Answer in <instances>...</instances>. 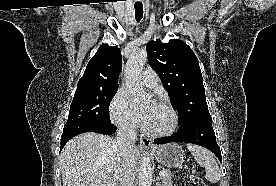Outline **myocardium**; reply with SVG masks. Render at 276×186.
I'll return each mask as SVG.
<instances>
[{
  "instance_id": "myocardium-1",
  "label": "myocardium",
  "mask_w": 276,
  "mask_h": 186,
  "mask_svg": "<svg viewBox=\"0 0 276 186\" xmlns=\"http://www.w3.org/2000/svg\"><path fill=\"white\" fill-rule=\"evenodd\" d=\"M159 104L163 105L164 107H166L172 114L173 117V122L172 125L170 126V128H168L167 130H163V131H153L148 129L146 126L144 127V132L152 137H166L169 136L171 134H173L179 125V115L177 113V111L175 110V108L168 102L165 100H161L159 102Z\"/></svg>"
}]
</instances>
